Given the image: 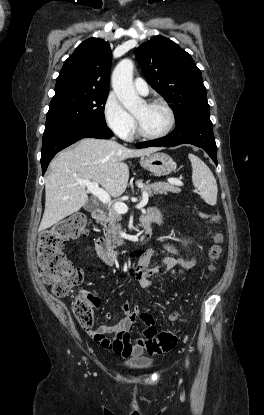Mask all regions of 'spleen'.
I'll return each instance as SVG.
<instances>
[{
  "instance_id": "3e777b00",
  "label": "spleen",
  "mask_w": 264,
  "mask_h": 415,
  "mask_svg": "<svg viewBox=\"0 0 264 415\" xmlns=\"http://www.w3.org/2000/svg\"><path fill=\"white\" fill-rule=\"evenodd\" d=\"M192 165V181L201 198L209 205L217 202V182L209 167L196 155H188Z\"/></svg>"
}]
</instances>
